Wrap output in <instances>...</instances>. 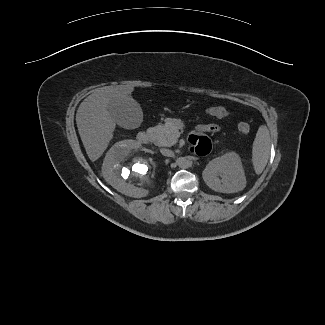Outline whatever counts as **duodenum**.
I'll return each mask as SVG.
<instances>
[{
	"label": "duodenum",
	"mask_w": 325,
	"mask_h": 325,
	"mask_svg": "<svg viewBox=\"0 0 325 325\" xmlns=\"http://www.w3.org/2000/svg\"><path fill=\"white\" fill-rule=\"evenodd\" d=\"M154 138V132L152 130L143 131L138 134L137 140L141 144H149Z\"/></svg>",
	"instance_id": "1"
}]
</instances>
